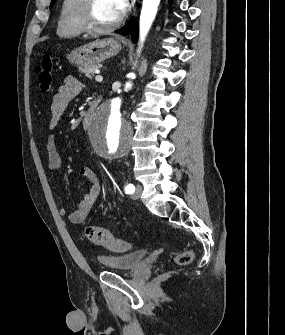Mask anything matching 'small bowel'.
<instances>
[{
    "mask_svg": "<svg viewBox=\"0 0 285 335\" xmlns=\"http://www.w3.org/2000/svg\"><path fill=\"white\" fill-rule=\"evenodd\" d=\"M84 89V86L74 77H67L63 85L58 88L53 96L50 107V119L46 143L47 164L51 171H58L61 168L62 160L56 149L54 130L59 125L69 103L77 97ZM81 174L91 182V186L79 203L74 212H67L60 209L61 216L72 224H84L94 205L102 194V184L97 180L96 174L90 168H83Z\"/></svg>",
    "mask_w": 285,
    "mask_h": 335,
    "instance_id": "1",
    "label": "small bowel"
}]
</instances>
